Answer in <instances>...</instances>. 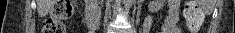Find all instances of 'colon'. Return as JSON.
<instances>
[{"label":"colon","mask_w":235,"mask_h":33,"mask_svg":"<svg viewBox=\"0 0 235 33\" xmlns=\"http://www.w3.org/2000/svg\"><path fill=\"white\" fill-rule=\"evenodd\" d=\"M73 15V7L70 0H58L50 11V15L44 21L43 33H65V26L63 21L68 20ZM184 18L188 29L192 33H196L199 29L203 13L199 6L190 1L186 4L184 9Z\"/></svg>","instance_id":"1"}]
</instances>
